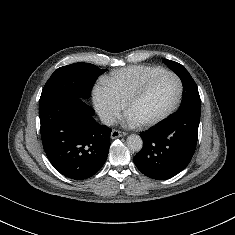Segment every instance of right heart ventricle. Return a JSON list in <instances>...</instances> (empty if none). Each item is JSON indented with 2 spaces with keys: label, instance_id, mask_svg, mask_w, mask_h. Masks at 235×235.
Masks as SVG:
<instances>
[{
  "label": "right heart ventricle",
  "instance_id": "obj_1",
  "mask_svg": "<svg viewBox=\"0 0 235 235\" xmlns=\"http://www.w3.org/2000/svg\"><path fill=\"white\" fill-rule=\"evenodd\" d=\"M165 71L154 65H133L112 72L104 79L105 85L123 103L152 75Z\"/></svg>",
  "mask_w": 235,
  "mask_h": 235
}]
</instances>
